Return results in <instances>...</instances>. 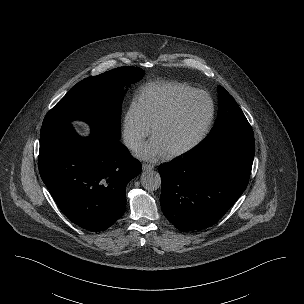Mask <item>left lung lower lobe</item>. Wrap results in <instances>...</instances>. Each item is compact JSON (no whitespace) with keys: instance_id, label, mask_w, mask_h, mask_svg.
Instances as JSON below:
<instances>
[{"instance_id":"obj_1","label":"left lung lower lobe","mask_w":304,"mask_h":304,"mask_svg":"<svg viewBox=\"0 0 304 304\" xmlns=\"http://www.w3.org/2000/svg\"><path fill=\"white\" fill-rule=\"evenodd\" d=\"M254 152L253 136H237L160 165L165 217L181 231L215 224L246 189Z\"/></svg>"}]
</instances>
